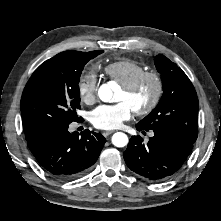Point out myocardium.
Returning a JSON list of instances; mask_svg holds the SVG:
<instances>
[{
    "instance_id": "myocardium-1",
    "label": "myocardium",
    "mask_w": 221,
    "mask_h": 221,
    "mask_svg": "<svg viewBox=\"0 0 221 221\" xmlns=\"http://www.w3.org/2000/svg\"><path fill=\"white\" fill-rule=\"evenodd\" d=\"M146 81H151L154 85V92L152 95L151 100L147 105H145L142 108H138L134 110V113L139 116H145L153 112L157 106L159 105L163 93H164V81L162 76L154 71V70H148L144 71L141 74L137 75L132 80L128 81L125 84L121 85V88L126 92H134L139 87H141L142 84H144Z\"/></svg>"
}]
</instances>
